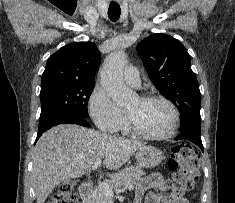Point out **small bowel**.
<instances>
[{"label": "small bowel", "instance_id": "obj_1", "mask_svg": "<svg viewBox=\"0 0 235 203\" xmlns=\"http://www.w3.org/2000/svg\"><path fill=\"white\" fill-rule=\"evenodd\" d=\"M144 195L145 203H189L183 195L169 192L166 181L159 174H151L140 180L135 190V199L141 203Z\"/></svg>", "mask_w": 235, "mask_h": 203}]
</instances>
